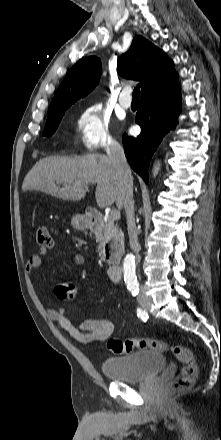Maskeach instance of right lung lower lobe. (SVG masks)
Wrapping results in <instances>:
<instances>
[{
  "label": "right lung lower lobe",
  "mask_w": 221,
  "mask_h": 440,
  "mask_svg": "<svg viewBox=\"0 0 221 440\" xmlns=\"http://www.w3.org/2000/svg\"><path fill=\"white\" fill-rule=\"evenodd\" d=\"M180 89L177 79L165 88L141 97L136 123L141 134L122 137L124 152L133 170L148 182L150 159L165 134L177 124L180 114Z\"/></svg>",
  "instance_id": "1"
}]
</instances>
